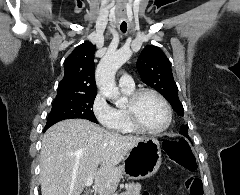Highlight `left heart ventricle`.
I'll return each mask as SVG.
<instances>
[{
	"instance_id": "b2bd125f",
	"label": "left heart ventricle",
	"mask_w": 240,
	"mask_h": 195,
	"mask_svg": "<svg viewBox=\"0 0 240 195\" xmlns=\"http://www.w3.org/2000/svg\"><path fill=\"white\" fill-rule=\"evenodd\" d=\"M139 116L143 125L149 129L159 128L165 118L162 104L151 94L142 97L139 104Z\"/></svg>"
}]
</instances>
